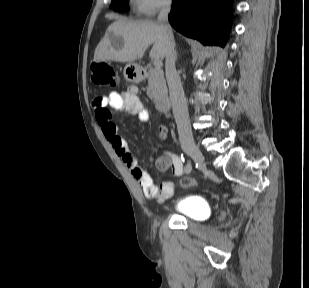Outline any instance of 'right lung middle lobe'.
<instances>
[{"label": "right lung middle lobe", "instance_id": "right-lung-middle-lobe-1", "mask_svg": "<svg viewBox=\"0 0 309 288\" xmlns=\"http://www.w3.org/2000/svg\"><path fill=\"white\" fill-rule=\"evenodd\" d=\"M129 0H112L111 8L115 11L123 12L128 9Z\"/></svg>", "mask_w": 309, "mask_h": 288}]
</instances>
